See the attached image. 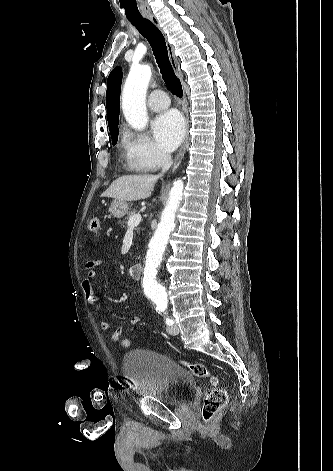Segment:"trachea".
Masks as SVG:
<instances>
[{"label":"trachea","mask_w":333,"mask_h":471,"mask_svg":"<svg viewBox=\"0 0 333 471\" xmlns=\"http://www.w3.org/2000/svg\"><path fill=\"white\" fill-rule=\"evenodd\" d=\"M130 22L150 43L166 86L174 95L181 98L183 95L182 85L170 63L165 38L161 31L148 19L130 20Z\"/></svg>","instance_id":"1"}]
</instances>
